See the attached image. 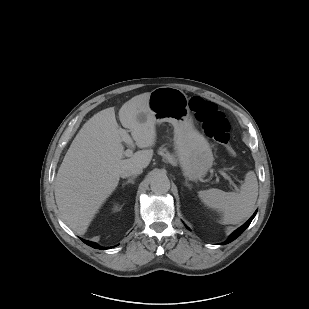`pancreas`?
Instances as JSON below:
<instances>
[{
	"label": "pancreas",
	"instance_id": "1",
	"mask_svg": "<svg viewBox=\"0 0 309 309\" xmlns=\"http://www.w3.org/2000/svg\"><path fill=\"white\" fill-rule=\"evenodd\" d=\"M159 154L162 155L165 159H167L170 163H175L174 157L166 150V148H161L159 150Z\"/></svg>",
	"mask_w": 309,
	"mask_h": 309
}]
</instances>
